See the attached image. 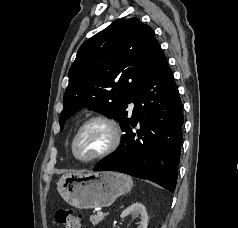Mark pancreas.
Masks as SVG:
<instances>
[{"mask_svg": "<svg viewBox=\"0 0 238 228\" xmlns=\"http://www.w3.org/2000/svg\"><path fill=\"white\" fill-rule=\"evenodd\" d=\"M105 218V215H102V216H99V215H92L90 217V222L93 224V225H98L101 221H103Z\"/></svg>", "mask_w": 238, "mask_h": 228, "instance_id": "cf45deb5", "label": "pancreas"}]
</instances>
